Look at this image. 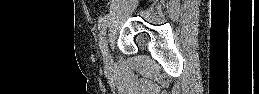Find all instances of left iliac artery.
<instances>
[{"instance_id": "left-iliac-artery-1", "label": "left iliac artery", "mask_w": 259, "mask_h": 94, "mask_svg": "<svg viewBox=\"0 0 259 94\" xmlns=\"http://www.w3.org/2000/svg\"><path fill=\"white\" fill-rule=\"evenodd\" d=\"M112 13H108L106 14L103 18H101L100 20V25H99V29H100V33H99V42H100V47H102L103 43H104V36L106 34V29L108 26V21L110 20Z\"/></svg>"}]
</instances>
